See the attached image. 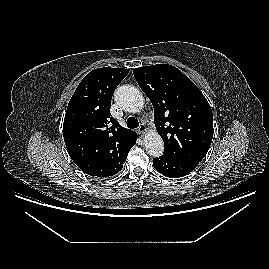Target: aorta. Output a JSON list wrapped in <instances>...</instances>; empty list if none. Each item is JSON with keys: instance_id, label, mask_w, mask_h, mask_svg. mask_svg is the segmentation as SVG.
Masks as SVG:
<instances>
[{"instance_id": "aorta-1", "label": "aorta", "mask_w": 269, "mask_h": 269, "mask_svg": "<svg viewBox=\"0 0 269 269\" xmlns=\"http://www.w3.org/2000/svg\"><path fill=\"white\" fill-rule=\"evenodd\" d=\"M117 103L126 111L137 113L144 106V96L141 91L132 85H123L115 92ZM144 146L147 153L159 157L164 151V143L156 131H151L144 136Z\"/></svg>"}]
</instances>
